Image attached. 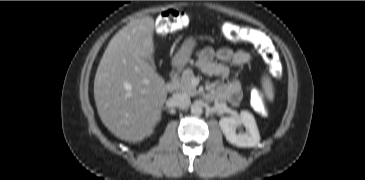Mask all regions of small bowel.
<instances>
[{
  "label": "small bowel",
  "instance_id": "1",
  "mask_svg": "<svg viewBox=\"0 0 365 180\" xmlns=\"http://www.w3.org/2000/svg\"><path fill=\"white\" fill-rule=\"evenodd\" d=\"M196 57L197 65L204 74L220 79L228 78L229 65L242 66L252 61L250 53L231 48H222L216 53L211 48H203L197 51ZM215 58L219 61H216ZM213 94L221 99L236 102L241 98V84L238 80L233 79L228 83L217 85Z\"/></svg>",
  "mask_w": 365,
  "mask_h": 180
}]
</instances>
